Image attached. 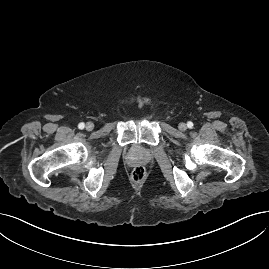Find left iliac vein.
I'll list each match as a JSON object with an SVG mask.
<instances>
[{"label":"left iliac vein","instance_id":"obj_1","mask_svg":"<svg viewBox=\"0 0 269 269\" xmlns=\"http://www.w3.org/2000/svg\"><path fill=\"white\" fill-rule=\"evenodd\" d=\"M178 128H179L180 131H186L187 130V125L182 122V123H180L178 125Z\"/></svg>","mask_w":269,"mask_h":269}]
</instances>
